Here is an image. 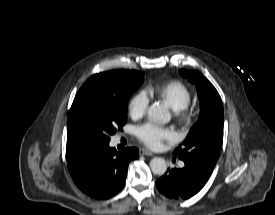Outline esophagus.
<instances>
[{"mask_svg":"<svg viewBox=\"0 0 275 215\" xmlns=\"http://www.w3.org/2000/svg\"><path fill=\"white\" fill-rule=\"evenodd\" d=\"M140 154L144 155V156H153V153L150 150L146 149V148H141L140 149Z\"/></svg>","mask_w":275,"mask_h":215,"instance_id":"1","label":"esophagus"}]
</instances>
